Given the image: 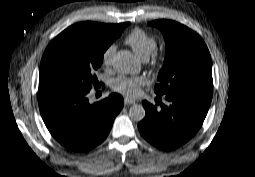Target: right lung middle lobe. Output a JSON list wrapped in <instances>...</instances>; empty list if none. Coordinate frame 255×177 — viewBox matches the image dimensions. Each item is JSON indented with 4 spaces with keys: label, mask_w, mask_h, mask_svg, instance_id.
Listing matches in <instances>:
<instances>
[{
    "label": "right lung middle lobe",
    "mask_w": 255,
    "mask_h": 177,
    "mask_svg": "<svg viewBox=\"0 0 255 177\" xmlns=\"http://www.w3.org/2000/svg\"><path fill=\"white\" fill-rule=\"evenodd\" d=\"M130 23L113 34L71 26L47 46L40 64L39 92L49 89L89 91L97 84L93 75L107 48Z\"/></svg>",
    "instance_id": "right-lung-middle-lobe-1"
}]
</instances>
